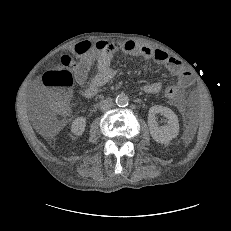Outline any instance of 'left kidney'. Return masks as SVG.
I'll return each mask as SVG.
<instances>
[{
    "mask_svg": "<svg viewBox=\"0 0 231 231\" xmlns=\"http://www.w3.org/2000/svg\"><path fill=\"white\" fill-rule=\"evenodd\" d=\"M161 113L168 121L167 125L159 127L156 121V114ZM148 126L152 138L162 144H166L175 138L179 133V122L177 115L167 107L160 105L152 106L148 114Z\"/></svg>",
    "mask_w": 231,
    "mask_h": 231,
    "instance_id": "left-kidney-1",
    "label": "left kidney"
}]
</instances>
